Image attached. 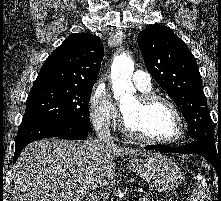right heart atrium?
Returning a JSON list of instances; mask_svg holds the SVG:
<instances>
[{
    "label": "right heart atrium",
    "instance_id": "right-heart-atrium-1",
    "mask_svg": "<svg viewBox=\"0 0 221 201\" xmlns=\"http://www.w3.org/2000/svg\"><path fill=\"white\" fill-rule=\"evenodd\" d=\"M89 117L98 131H108L116 122L117 109L105 89H96L89 102Z\"/></svg>",
    "mask_w": 221,
    "mask_h": 201
}]
</instances>
